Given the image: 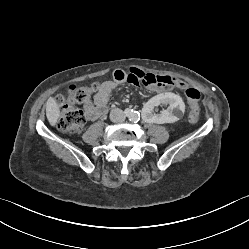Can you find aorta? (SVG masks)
Listing matches in <instances>:
<instances>
[{"mask_svg": "<svg viewBox=\"0 0 249 249\" xmlns=\"http://www.w3.org/2000/svg\"><path fill=\"white\" fill-rule=\"evenodd\" d=\"M127 117L130 121L137 122L140 119V114L139 112L132 110L127 114Z\"/></svg>", "mask_w": 249, "mask_h": 249, "instance_id": "762f6f07", "label": "aorta"}]
</instances>
